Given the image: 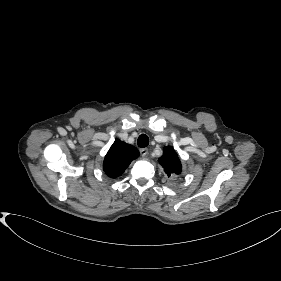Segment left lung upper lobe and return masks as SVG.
<instances>
[{"instance_id":"1","label":"left lung upper lobe","mask_w":281,"mask_h":281,"mask_svg":"<svg viewBox=\"0 0 281 281\" xmlns=\"http://www.w3.org/2000/svg\"><path fill=\"white\" fill-rule=\"evenodd\" d=\"M159 162L164 168L165 173L170 177L173 174L181 173V163L175 150L170 147H164L163 155L159 158Z\"/></svg>"}]
</instances>
